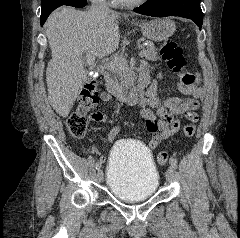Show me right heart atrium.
<instances>
[{
  "label": "right heart atrium",
  "mask_w": 240,
  "mask_h": 238,
  "mask_svg": "<svg viewBox=\"0 0 240 238\" xmlns=\"http://www.w3.org/2000/svg\"><path fill=\"white\" fill-rule=\"evenodd\" d=\"M102 1H108V2H112V1H114V0H102Z\"/></svg>",
  "instance_id": "obj_1"
}]
</instances>
